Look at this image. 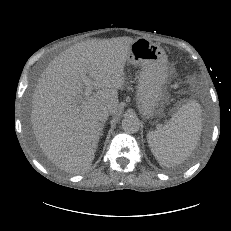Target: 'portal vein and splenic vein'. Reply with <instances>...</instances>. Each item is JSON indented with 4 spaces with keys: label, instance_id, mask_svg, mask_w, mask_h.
I'll return each mask as SVG.
<instances>
[{
    "label": "portal vein and splenic vein",
    "instance_id": "portal-vein-and-splenic-vein-1",
    "mask_svg": "<svg viewBox=\"0 0 231 231\" xmlns=\"http://www.w3.org/2000/svg\"><path fill=\"white\" fill-rule=\"evenodd\" d=\"M82 81L85 84V90H84V95L85 97H89L92 94V81L87 77V76H82Z\"/></svg>",
    "mask_w": 231,
    "mask_h": 231
}]
</instances>
